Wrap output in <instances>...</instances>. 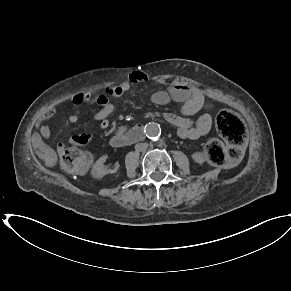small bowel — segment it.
I'll use <instances>...</instances> for the list:
<instances>
[{
	"mask_svg": "<svg viewBox=\"0 0 291 291\" xmlns=\"http://www.w3.org/2000/svg\"><path fill=\"white\" fill-rule=\"evenodd\" d=\"M148 81L149 77L146 73L136 71L133 72L127 80L109 86L104 94L96 98V102L100 108L94 113V119L100 121L102 131L106 132L110 130L109 117L114 112V106L110 100L121 98L132 86L146 84ZM91 97V94L87 92L77 93L71 98V103L73 105H82L90 101ZM171 100L182 103L181 115L165 113L164 119L177 128L178 135L181 138L198 139L210 131L212 118L209 113H203L195 123L189 118V116L210 106L200 90L183 84H174L168 90H158L151 95V101L156 105L163 106L168 104ZM56 111V107H51L42 115L38 123V130L33 134L32 138L34 148L44 153L47 163L54 161L56 156L44 142V140H48L51 137L49 121L55 115ZM78 119V111L69 115V121L72 123L77 122ZM127 132H129V130L126 127L120 126L116 129L115 135H125ZM92 138L93 136L91 134H80L73 136L70 142L87 144ZM64 150L65 145L63 143H58L56 146L57 155H62Z\"/></svg>",
	"mask_w": 291,
	"mask_h": 291,
	"instance_id": "1",
	"label": "small bowel"
}]
</instances>
